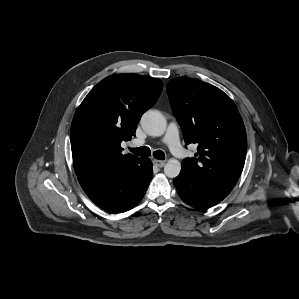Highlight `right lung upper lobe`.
I'll return each instance as SVG.
<instances>
[{"mask_svg":"<svg viewBox=\"0 0 299 299\" xmlns=\"http://www.w3.org/2000/svg\"><path fill=\"white\" fill-rule=\"evenodd\" d=\"M160 79L114 74L100 81L78 107L70 130L78 178H102L141 158L122 154V141L135 136L142 114L162 92Z\"/></svg>","mask_w":299,"mask_h":299,"instance_id":"obj_1","label":"right lung upper lobe"}]
</instances>
